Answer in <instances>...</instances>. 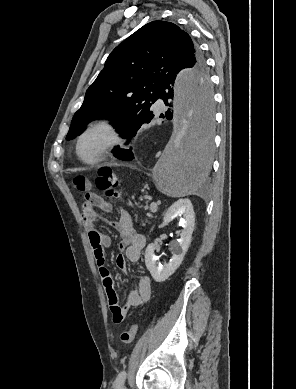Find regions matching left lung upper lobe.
Here are the masks:
<instances>
[{
	"mask_svg": "<svg viewBox=\"0 0 296 389\" xmlns=\"http://www.w3.org/2000/svg\"><path fill=\"white\" fill-rule=\"evenodd\" d=\"M184 68H191V78L202 76L210 86L203 56L185 31L166 21L144 25L111 52L88 88L66 138L80 135L99 118L115 121L116 131L132 138L154 117L150 107L162 84L175 80Z\"/></svg>",
	"mask_w": 296,
	"mask_h": 389,
	"instance_id": "obj_1",
	"label": "left lung upper lobe"
}]
</instances>
